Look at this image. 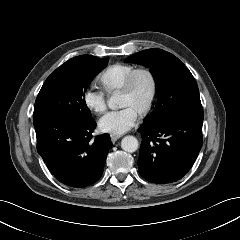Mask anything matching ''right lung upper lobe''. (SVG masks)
<instances>
[{
  "label": "right lung upper lobe",
  "mask_w": 240,
  "mask_h": 240,
  "mask_svg": "<svg viewBox=\"0 0 240 240\" xmlns=\"http://www.w3.org/2000/svg\"><path fill=\"white\" fill-rule=\"evenodd\" d=\"M95 58H96L95 56H91V55H81L66 61L61 66H68V65L77 64V63H86V62L93 61Z\"/></svg>",
  "instance_id": "1"
}]
</instances>
